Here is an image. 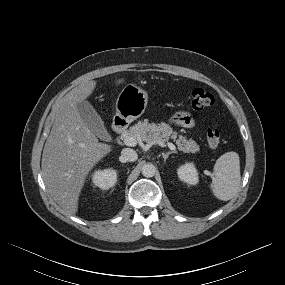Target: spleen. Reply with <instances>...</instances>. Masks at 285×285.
<instances>
[{
    "mask_svg": "<svg viewBox=\"0 0 285 285\" xmlns=\"http://www.w3.org/2000/svg\"><path fill=\"white\" fill-rule=\"evenodd\" d=\"M214 177L210 185L219 200L228 201L237 193L240 182V160L236 152L221 155L214 165Z\"/></svg>",
    "mask_w": 285,
    "mask_h": 285,
    "instance_id": "1",
    "label": "spleen"
}]
</instances>
